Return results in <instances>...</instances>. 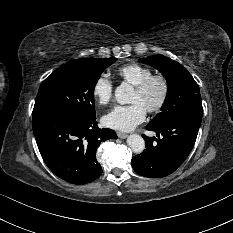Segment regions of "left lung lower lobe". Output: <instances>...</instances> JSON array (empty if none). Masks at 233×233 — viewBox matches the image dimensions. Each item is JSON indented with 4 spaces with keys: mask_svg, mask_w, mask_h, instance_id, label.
Masks as SVG:
<instances>
[{
    "mask_svg": "<svg viewBox=\"0 0 233 233\" xmlns=\"http://www.w3.org/2000/svg\"><path fill=\"white\" fill-rule=\"evenodd\" d=\"M202 114V107H194L162 126L147 125L146 129L156 132L158 138L143 135L146 149L132 158L133 169L152 178L165 177L178 169L195 144Z\"/></svg>",
    "mask_w": 233,
    "mask_h": 233,
    "instance_id": "left-lung-lower-lobe-1",
    "label": "left lung lower lobe"
}]
</instances>
